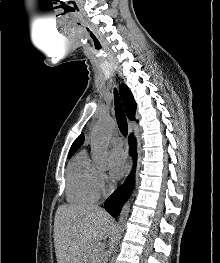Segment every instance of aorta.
I'll list each match as a JSON object with an SVG mask.
<instances>
[{"label":"aorta","mask_w":220,"mask_h":263,"mask_svg":"<svg viewBox=\"0 0 220 263\" xmlns=\"http://www.w3.org/2000/svg\"><path fill=\"white\" fill-rule=\"evenodd\" d=\"M113 129H114L113 121L110 118L104 117L99 121L92 134L91 145L93 150V161L95 165L100 169H104L107 165L108 138L111 132L113 131ZM129 211H130V202L128 201L123 206L122 211L119 215L118 226L112 240L113 244H117L121 232L124 230V226Z\"/></svg>","instance_id":"obj_1"}]
</instances>
